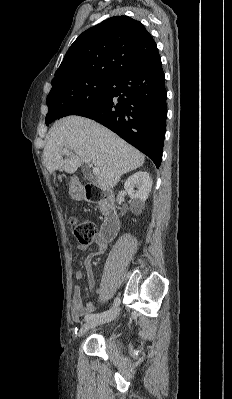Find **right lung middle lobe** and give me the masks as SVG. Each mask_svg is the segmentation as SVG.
<instances>
[{"instance_id":"1","label":"right lung middle lobe","mask_w":232,"mask_h":399,"mask_svg":"<svg viewBox=\"0 0 232 399\" xmlns=\"http://www.w3.org/2000/svg\"><path fill=\"white\" fill-rule=\"evenodd\" d=\"M110 79H94L78 83L66 91L47 96L49 108L46 125L58 119L63 112L79 105L88 104L100 99L109 85Z\"/></svg>"}]
</instances>
